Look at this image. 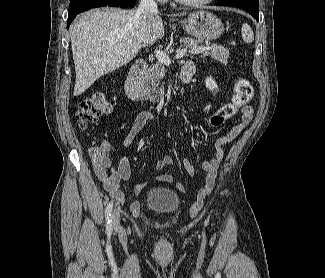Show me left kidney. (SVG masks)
Segmentation results:
<instances>
[{"label":"left kidney","mask_w":325,"mask_h":278,"mask_svg":"<svg viewBox=\"0 0 325 278\" xmlns=\"http://www.w3.org/2000/svg\"><path fill=\"white\" fill-rule=\"evenodd\" d=\"M206 88H208L211 92L217 93L218 86L215 80L212 77H207L205 80Z\"/></svg>","instance_id":"left-kidney-1"}]
</instances>
